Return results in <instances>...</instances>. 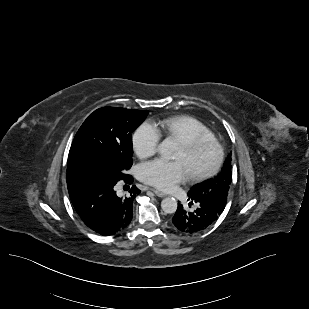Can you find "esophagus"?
<instances>
[{
    "label": "esophagus",
    "instance_id": "1",
    "mask_svg": "<svg viewBox=\"0 0 309 309\" xmlns=\"http://www.w3.org/2000/svg\"><path fill=\"white\" fill-rule=\"evenodd\" d=\"M151 191H153L158 197H165V194L159 190L156 189H150Z\"/></svg>",
    "mask_w": 309,
    "mask_h": 309
}]
</instances>
